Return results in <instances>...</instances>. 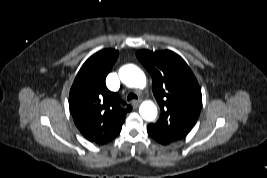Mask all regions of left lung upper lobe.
I'll use <instances>...</instances> for the list:
<instances>
[{
  "mask_svg": "<svg viewBox=\"0 0 267 178\" xmlns=\"http://www.w3.org/2000/svg\"><path fill=\"white\" fill-rule=\"evenodd\" d=\"M136 56L152 77L153 94L161 107L159 120L148 128L167 143L183 139L196 124L202 107L197 79L172 51L140 50Z\"/></svg>",
  "mask_w": 267,
  "mask_h": 178,
  "instance_id": "obj_1",
  "label": "left lung upper lobe"
}]
</instances>
